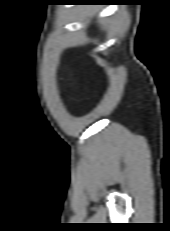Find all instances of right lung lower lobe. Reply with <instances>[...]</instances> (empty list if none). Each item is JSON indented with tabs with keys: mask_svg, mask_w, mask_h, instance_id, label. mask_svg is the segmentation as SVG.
<instances>
[{
	"mask_svg": "<svg viewBox=\"0 0 170 231\" xmlns=\"http://www.w3.org/2000/svg\"><path fill=\"white\" fill-rule=\"evenodd\" d=\"M86 2H97V1H100V0H85ZM101 1H104V0H101Z\"/></svg>",
	"mask_w": 170,
	"mask_h": 231,
	"instance_id": "obj_1",
	"label": "right lung lower lobe"
}]
</instances>
